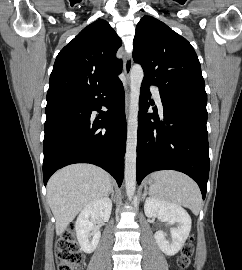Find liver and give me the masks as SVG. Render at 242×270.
Here are the masks:
<instances>
[{
    "label": "liver",
    "instance_id": "obj_1",
    "mask_svg": "<svg viewBox=\"0 0 242 270\" xmlns=\"http://www.w3.org/2000/svg\"><path fill=\"white\" fill-rule=\"evenodd\" d=\"M113 188L111 176L90 164H74L57 171L47 184L48 203L61 235L88 204L103 198Z\"/></svg>",
    "mask_w": 242,
    "mask_h": 270
}]
</instances>
